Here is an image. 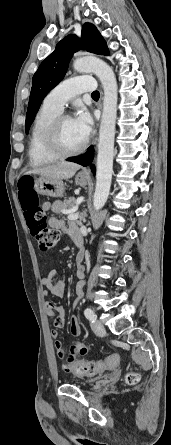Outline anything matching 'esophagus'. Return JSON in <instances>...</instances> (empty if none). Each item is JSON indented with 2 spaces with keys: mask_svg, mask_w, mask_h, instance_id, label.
<instances>
[{
  "mask_svg": "<svg viewBox=\"0 0 171 445\" xmlns=\"http://www.w3.org/2000/svg\"><path fill=\"white\" fill-rule=\"evenodd\" d=\"M81 173H83V174H88V173H89V169H88V168H84V169L81 171Z\"/></svg>",
  "mask_w": 171,
  "mask_h": 445,
  "instance_id": "34e87169",
  "label": "esophagus"
}]
</instances>
